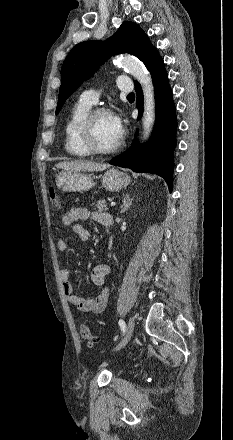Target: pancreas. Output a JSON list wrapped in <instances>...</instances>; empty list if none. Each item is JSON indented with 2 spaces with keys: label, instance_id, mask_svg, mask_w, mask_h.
<instances>
[{
  "label": "pancreas",
  "instance_id": "pancreas-1",
  "mask_svg": "<svg viewBox=\"0 0 233 440\" xmlns=\"http://www.w3.org/2000/svg\"><path fill=\"white\" fill-rule=\"evenodd\" d=\"M92 206H94V209L99 212L108 210V207H107L105 200H99L96 203H93Z\"/></svg>",
  "mask_w": 233,
  "mask_h": 440
}]
</instances>
